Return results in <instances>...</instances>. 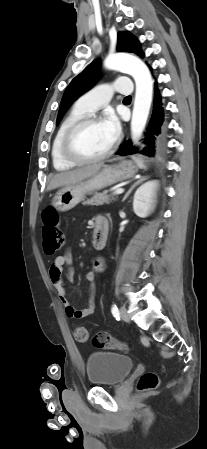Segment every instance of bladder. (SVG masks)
I'll list each match as a JSON object with an SVG mask.
<instances>
[{
  "instance_id": "obj_1",
  "label": "bladder",
  "mask_w": 207,
  "mask_h": 449,
  "mask_svg": "<svg viewBox=\"0 0 207 449\" xmlns=\"http://www.w3.org/2000/svg\"><path fill=\"white\" fill-rule=\"evenodd\" d=\"M134 369V360L115 352H92L86 359V374L91 385L116 386Z\"/></svg>"
}]
</instances>
